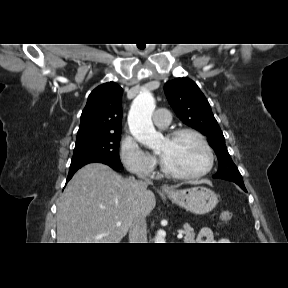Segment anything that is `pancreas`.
Here are the masks:
<instances>
[{
  "label": "pancreas",
  "instance_id": "1",
  "mask_svg": "<svg viewBox=\"0 0 288 288\" xmlns=\"http://www.w3.org/2000/svg\"><path fill=\"white\" fill-rule=\"evenodd\" d=\"M184 243H193L195 238V233L193 228L190 226H184Z\"/></svg>",
  "mask_w": 288,
  "mask_h": 288
}]
</instances>
